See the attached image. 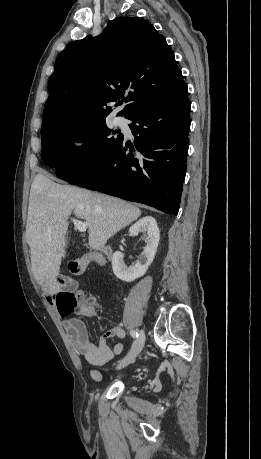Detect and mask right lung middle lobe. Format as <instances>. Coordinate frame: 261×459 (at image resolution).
I'll return each mask as SVG.
<instances>
[{
  "label": "right lung middle lobe",
  "instance_id": "right-lung-middle-lobe-1",
  "mask_svg": "<svg viewBox=\"0 0 261 459\" xmlns=\"http://www.w3.org/2000/svg\"><path fill=\"white\" fill-rule=\"evenodd\" d=\"M105 120L87 124H65L41 132V157L47 164L58 167L57 176L71 182L78 179L108 159L123 139L118 133L113 137ZM85 142L77 153L63 152L68 141Z\"/></svg>",
  "mask_w": 261,
  "mask_h": 459
}]
</instances>
